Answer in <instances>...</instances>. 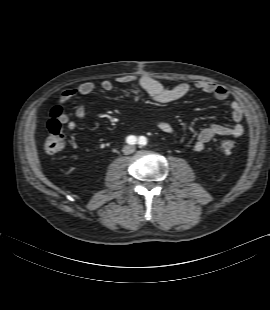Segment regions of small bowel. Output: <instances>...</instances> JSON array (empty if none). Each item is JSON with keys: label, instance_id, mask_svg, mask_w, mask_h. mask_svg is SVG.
Segmentation results:
<instances>
[{"label": "small bowel", "instance_id": "c3829d8e", "mask_svg": "<svg viewBox=\"0 0 270 310\" xmlns=\"http://www.w3.org/2000/svg\"><path fill=\"white\" fill-rule=\"evenodd\" d=\"M116 82L121 84H137L152 100L161 104L181 100L187 97L193 89L210 94L219 101H225L230 97V92L225 86L208 81H197L193 86L188 83H180L174 87L167 88L150 76L128 75L117 78ZM114 85L115 83L113 80L106 79L101 82L100 87L104 91H111ZM95 89L96 86L93 82L86 81L81 83L77 88L64 90L60 95L57 105V107L61 109L59 120L62 124L66 125L69 130H75L77 123L66 113L64 105L78 95L86 96L92 94ZM229 107L234 124L232 126L212 124L203 128L194 142L193 147L195 151L203 150L205 144L217 136L238 138L243 135L244 127L241 122L245 115L244 108L236 99L229 102ZM74 113L80 120L86 118L85 105L81 100L77 102ZM155 123L158 129L165 134H172L174 131L172 124L163 118H156Z\"/></svg>", "mask_w": 270, "mask_h": 310}]
</instances>
